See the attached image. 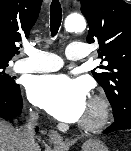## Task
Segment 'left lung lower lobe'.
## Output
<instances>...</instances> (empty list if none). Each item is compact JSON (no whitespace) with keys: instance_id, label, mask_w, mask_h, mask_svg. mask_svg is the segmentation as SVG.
<instances>
[{"instance_id":"obj_1","label":"left lung lower lobe","mask_w":131,"mask_h":151,"mask_svg":"<svg viewBox=\"0 0 131 151\" xmlns=\"http://www.w3.org/2000/svg\"><path fill=\"white\" fill-rule=\"evenodd\" d=\"M131 129V114H127L124 117L114 118V123L103 131V133H110L116 130H128Z\"/></svg>"}]
</instances>
